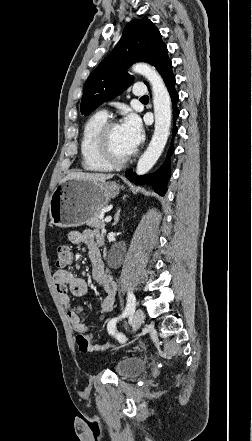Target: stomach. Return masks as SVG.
I'll return each mask as SVG.
<instances>
[{"label":"stomach","instance_id":"stomach-1","mask_svg":"<svg viewBox=\"0 0 252 441\" xmlns=\"http://www.w3.org/2000/svg\"><path fill=\"white\" fill-rule=\"evenodd\" d=\"M124 187L116 182L71 179L62 182L49 203L51 223L59 227H77L100 213L111 198Z\"/></svg>","mask_w":252,"mask_h":441}]
</instances>
